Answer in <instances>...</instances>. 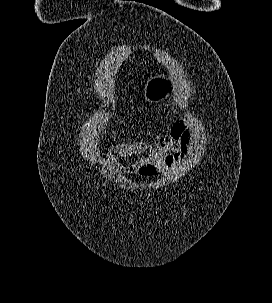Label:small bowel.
<instances>
[{"instance_id":"1","label":"small bowel","mask_w":272,"mask_h":303,"mask_svg":"<svg viewBox=\"0 0 272 303\" xmlns=\"http://www.w3.org/2000/svg\"><path fill=\"white\" fill-rule=\"evenodd\" d=\"M192 132L182 121H176L167 135L158 136L153 145L145 141L120 143L107 154V161L114 164L118 158L138 157L127 167H120V173H131L142 166L151 165L165 173L175 170L191 151Z\"/></svg>"}]
</instances>
